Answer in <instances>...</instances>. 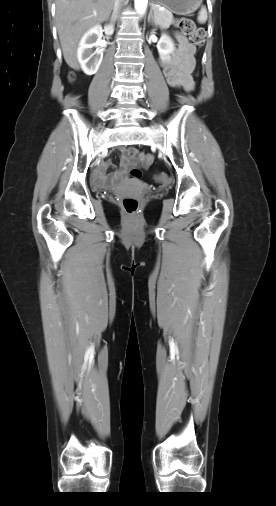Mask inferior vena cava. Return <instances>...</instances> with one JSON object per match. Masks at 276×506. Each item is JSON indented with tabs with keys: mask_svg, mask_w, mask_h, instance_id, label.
Masks as SVG:
<instances>
[{
	"mask_svg": "<svg viewBox=\"0 0 276 506\" xmlns=\"http://www.w3.org/2000/svg\"><path fill=\"white\" fill-rule=\"evenodd\" d=\"M119 1H120V0H116V1H115L114 13H115V11H117V9H118V6H119ZM114 13H113V14H114Z\"/></svg>",
	"mask_w": 276,
	"mask_h": 506,
	"instance_id": "inferior-vena-cava-1",
	"label": "inferior vena cava"
}]
</instances>
